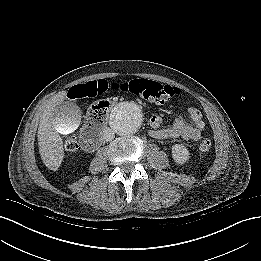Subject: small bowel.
Here are the masks:
<instances>
[{
    "mask_svg": "<svg viewBox=\"0 0 261 261\" xmlns=\"http://www.w3.org/2000/svg\"><path fill=\"white\" fill-rule=\"evenodd\" d=\"M69 97L76 99V97L71 95ZM187 115L190 119L189 123L182 116H178L173 124L168 127H163V119L160 116H152L150 118V136L156 139H175L181 137L185 140H199L206 126L203 116L195 107H189Z\"/></svg>",
    "mask_w": 261,
    "mask_h": 261,
    "instance_id": "small-bowel-1",
    "label": "small bowel"
}]
</instances>
